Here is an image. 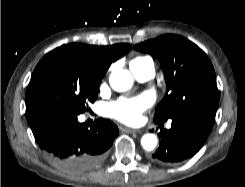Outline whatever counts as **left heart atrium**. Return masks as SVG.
<instances>
[{
    "label": "left heart atrium",
    "mask_w": 245,
    "mask_h": 187,
    "mask_svg": "<svg viewBox=\"0 0 245 187\" xmlns=\"http://www.w3.org/2000/svg\"><path fill=\"white\" fill-rule=\"evenodd\" d=\"M152 104V98L143 94L134 98H120L109 104L108 114L127 124H135L141 119L142 113Z\"/></svg>",
    "instance_id": "39dd6f15"
}]
</instances>
